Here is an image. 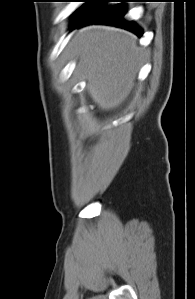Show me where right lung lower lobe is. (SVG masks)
<instances>
[{
  "instance_id": "obj_1",
  "label": "right lung lower lobe",
  "mask_w": 195,
  "mask_h": 299,
  "mask_svg": "<svg viewBox=\"0 0 195 299\" xmlns=\"http://www.w3.org/2000/svg\"><path fill=\"white\" fill-rule=\"evenodd\" d=\"M108 0H96L86 13L74 23L73 27H81L88 24H108L127 29L138 36L142 30L132 21L124 19L126 7L122 3L107 6Z\"/></svg>"
}]
</instances>
